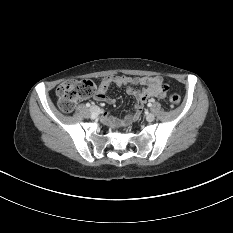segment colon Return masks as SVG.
Listing matches in <instances>:
<instances>
[{
	"label": "colon",
	"mask_w": 233,
	"mask_h": 233,
	"mask_svg": "<svg viewBox=\"0 0 233 233\" xmlns=\"http://www.w3.org/2000/svg\"><path fill=\"white\" fill-rule=\"evenodd\" d=\"M95 93V84L89 79L72 80L57 87L58 106L63 112H71L78 101L91 97ZM172 106L180 103V96L172 94L169 97Z\"/></svg>",
	"instance_id": "obj_1"
}]
</instances>
